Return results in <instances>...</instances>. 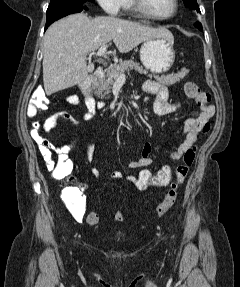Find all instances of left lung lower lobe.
Returning <instances> with one entry per match:
<instances>
[{
  "mask_svg": "<svg viewBox=\"0 0 240 287\" xmlns=\"http://www.w3.org/2000/svg\"><path fill=\"white\" fill-rule=\"evenodd\" d=\"M194 25H195L196 28H198L199 30L203 31L201 23L197 22Z\"/></svg>",
  "mask_w": 240,
  "mask_h": 287,
  "instance_id": "0a47b994",
  "label": "left lung lower lobe"
}]
</instances>
